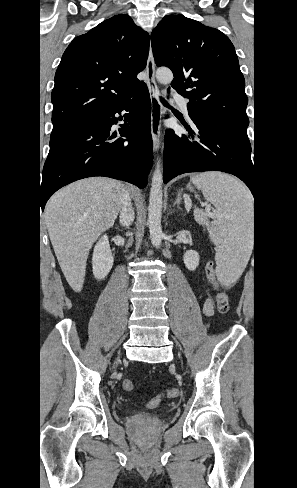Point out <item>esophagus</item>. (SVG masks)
<instances>
[{
	"mask_svg": "<svg viewBox=\"0 0 297 488\" xmlns=\"http://www.w3.org/2000/svg\"><path fill=\"white\" fill-rule=\"evenodd\" d=\"M147 83L151 99V135L153 140L154 151L159 149L160 135H161V118H162V103L160 101V93L155 79V64L150 43L149 55L146 66Z\"/></svg>",
	"mask_w": 297,
	"mask_h": 488,
	"instance_id": "esophagus-1",
	"label": "esophagus"
}]
</instances>
